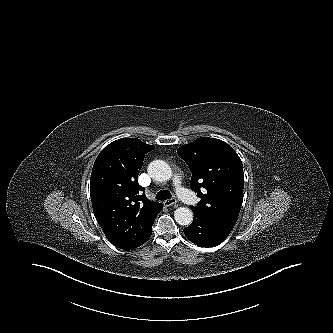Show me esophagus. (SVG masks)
<instances>
[{"instance_id":"1","label":"esophagus","mask_w":333,"mask_h":333,"mask_svg":"<svg viewBox=\"0 0 333 333\" xmlns=\"http://www.w3.org/2000/svg\"><path fill=\"white\" fill-rule=\"evenodd\" d=\"M176 204H177V199L176 198H172V199L164 201L165 206H174Z\"/></svg>"}]
</instances>
